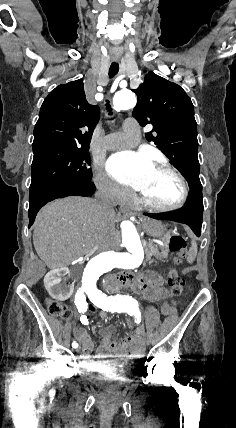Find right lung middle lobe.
Wrapping results in <instances>:
<instances>
[{
    "label": "right lung middle lobe",
    "instance_id": "obj_1",
    "mask_svg": "<svg viewBox=\"0 0 236 428\" xmlns=\"http://www.w3.org/2000/svg\"><path fill=\"white\" fill-rule=\"evenodd\" d=\"M89 145L42 147L34 152L30 190L59 182H90Z\"/></svg>",
    "mask_w": 236,
    "mask_h": 428
}]
</instances>
